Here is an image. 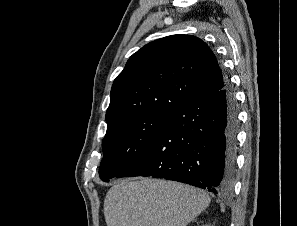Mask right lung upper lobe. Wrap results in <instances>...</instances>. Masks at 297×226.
<instances>
[{
    "label": "right lung upper lobe",
    "mask_w": 297,
    "mask_h": 226,
    "mask_svg": "<svg viewBox=\"0 0 297 226\" xmlns=\"http://www.w3.org/2000/svg\"><path fill=\"white\" fill-rule=\"evenodd\" d=\"M226 81L215 55L198 37L178 34L155 40L134 53L114 80L106 122L173 111L222 89Z\"/></svg>",
    "instance_id": "1"
}]
</instances>
